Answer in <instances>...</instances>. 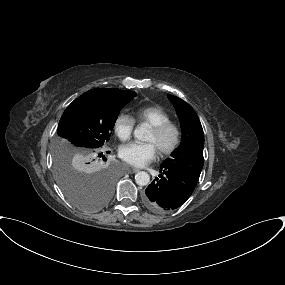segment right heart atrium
<instances>
[{
  "instance_id": "1",
  "label": "right heart atrium",
  "mask_w": 285,
  "mask_h": 285,
  "mask_svg": "<svg viewBox=\"0 0 285 285\" xmlns=\"http://www.w3.org/2000/svg\"><path fill=\"white\" fill-rule=\"evenodd\" d=\"M113 129L121 140H127L132 135L134 120L128 114H119L113 122Z\"/></svg>"
}]
</instances>
